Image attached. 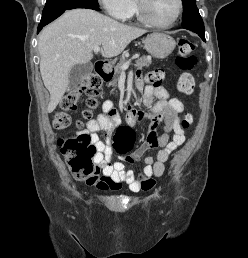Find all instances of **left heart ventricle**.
Returning <instances> with one entry per match:
<instances>
[{
	"instance_id": "1",
	"label": "left heart ventricle",
	"mask_w": 248,
	"mask_h": 258,
	"mask_svg": "<svg viewBox=\"0 0 248 258\" xmlns=\"http://www.w3.org/2000/svg\"><path fill=\"white\" fill-rule=\"evenodd\" d=\"M148 15L155 21L167 23L177 12V0H147Z\"/></svg>"
}]
</instances>
